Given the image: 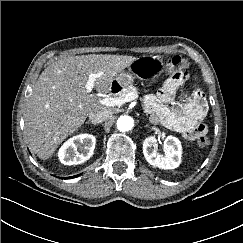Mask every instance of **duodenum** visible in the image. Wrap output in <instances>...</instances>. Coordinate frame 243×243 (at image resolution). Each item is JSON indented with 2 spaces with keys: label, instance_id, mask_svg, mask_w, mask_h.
Masks as SVG:
<instances>
[{
  "label": "duodenum",
  "instance_id": "obj_1",
  "mask_svg": "<svg viewBox=\"0 0 243 243\" xmlns=\"http://www.w3.org/2000/svg\"><path fill=\"white\" fill-rule=\"evenodd\" d=\"M112 94H117L120 91V86L117 84H113L110 89Z\"/></svg>",
  "mask_w": 243,
  "mask_h": 243
}]
</instances>
